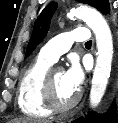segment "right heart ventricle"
Here are the masks:
<instances>
[{
	"label": "right heart ventricle",
	"mask_w": 118,
	"mask_h": 123,
	"mask_svg": "<svg viewBox=\"0 0 118 123\" xmlns=\"http://www.w3.org/2000/svg\"><path fill=\"white\" fill-rule=\"evenodd\" d=\"M51 65L50 61L38 56L20 79L17 103L20 110L27 116L44 118L52 112L43 101V80Z\"/></svg>",
	"instance_id": "1"
}]
</instances>
